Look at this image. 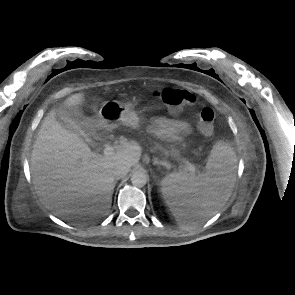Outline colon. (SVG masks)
Returning <instances> with one entry per match:
<instances>
[{"label":"colon","mask_w":295,"mask_h":295,"mask_svg":"<svg viewBox=\"0 0 295 295\" xmlns=\"http://www.w3.org/2000/svg\"><path fill=\"white\" fill-rule=\"evenodd\" d=\"M152 96L174 112H179L195 102V97L189 91L175 88L155 89ZM214 118L215 114L212 109L205 107L200 111L198 129L203 135L213 134Z\"/></svg>","instance_id":"5ec220e1"}]
</instances>
